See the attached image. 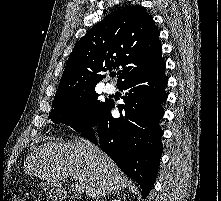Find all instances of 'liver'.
Listing matches in <instances>:
<instances>
[{
    "label": "liver",
    "instance_id": "6515ba94",
    "mask_svg": "<svg viewBox=\"0 0 221 201\" xmlns=\"http://www.w3.org/2000/svg\"><path fill=\"white\" fill-rule=\"evenodd\" d=\"M24 171L57 188L72 177L82 182L86 195L92 198L131 185L107 154L83 138L45 142L26 158Z\"/></svg>",
    "mask_w": 221,
    "mask_h": 201
}]
</instances>
